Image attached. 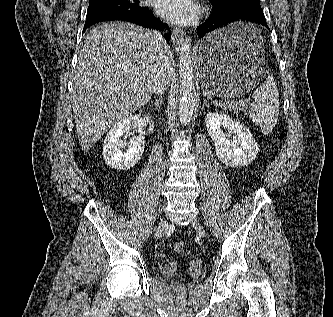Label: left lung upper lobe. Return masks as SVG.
Segmentation results:
<instances>
[{
    "label": "left lung upper lobe",
    "instance_id": "5c2ea615",
    "mask_svg": "<svg viewBox=\"0 0 333 317\" xmlns=\"http://www.w3.org/2000/svg\"><path fill=\"white\" fill-rule=\"evenodd\" d=\"M210 2L213 5H222V6L260 4L259 0H210Z\"/></svg>",
    "mask_w": 333,
    "mask_h": 317
}]
</instances>
